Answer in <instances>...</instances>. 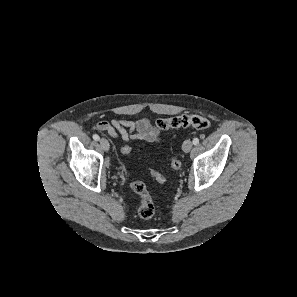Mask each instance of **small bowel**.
<instances>
[{
  "label": "small bowel",
  "instance_id": "small-bowel-1",
  "mask_svg": "<svg viewBox=\"0 0 297 297\" xmlns=\"http://www.w3.org/2000/svg\"><path fill=\"white\" fill-rule=\"evenodd\" d=\"M98 131L107 132L112 138H121L124 142L140 140L146 142H159L161 133L148 119L130 121L126 119H111L96 124Z\"/></svg>",
  "mask_w": 297,
  "mask_h": 297
}]
</instances>
